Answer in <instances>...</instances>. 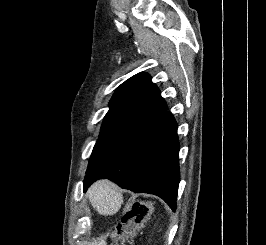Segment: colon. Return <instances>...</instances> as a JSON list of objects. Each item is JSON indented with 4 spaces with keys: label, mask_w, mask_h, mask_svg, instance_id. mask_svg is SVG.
I'll return each mask as SVG.
<instances>
[{
    "label": "colon",
    "mask_w": 266,
    "mask_h": 245,
    "mask_svg": "<svg viewBox=\"0 0 266 245\" xmlns=\"http://www.w3.org/2000/svg\"><path fill=\"white\" fill-rule=\"evenodd\" d=\"M151 212V204L147 200H138L122 214L113 230V238L120 245H133V238L142 228Z\"/></svg>",
    "instance_id": "obj_1"
}]
</instances>
